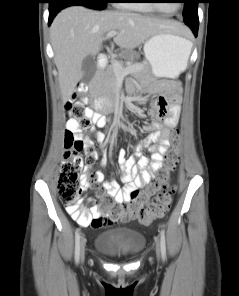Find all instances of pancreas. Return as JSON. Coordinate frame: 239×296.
<instances>
[{"instance_id": "pancreas-1", "label": "pancreas", "mask_w": 239, "mask_h": 296, "mask_svg": "<svg viewBox=\"0 0 239 296\" xmlns=\"http://www.w3.org/2000/svg\"><path fill=\"white\" fill-rule=\"evenodd\" d=\"M136 54L134 52H125L123 58L125 60L134 61ZM121 66L124 68L126 65L123 61H119ZM130 65H136L142 67L140 71H137L133 75L135 77L148 78L149 77V66L147 63H130ZM127 66V67H128ZM117 89V75L114 72L113 66H109L103 71L96 79V83L92 88L91 94L98 96L105 101H110L114 98Z\"/></svg>"}]
</instances>
